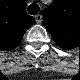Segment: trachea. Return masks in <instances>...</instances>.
Returning <instances> with one entry per match:
<instances>
[{"instance_id": "3493384b", "label": "trachea", "mask_w": 80, "mask_h": 80, "mask_svg": "<svg viewBox=\"0 0 80 80\" xmlns=\"http://www.w3.org/2000/svg\"><path fill=\"white\" fill-rule=\"evenodd\" d=\"M39 10H40L39 6L37 4L32 3L28 6L27 11L30 15H36L39 12Z\"/></svg>"}]
</instances>
